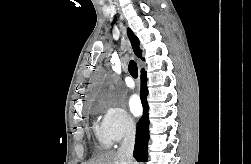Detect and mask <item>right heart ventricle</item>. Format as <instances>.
<instances>
[{
  "mask_svg": "<svg viewBox=\"0 0 251 164\" xmlns=\"http://www.w3.org/2000/svg\"><path fill=\"white\" fill-rule=\"evenodd\" d=\"M94 132H95L96 138H97V140L99 142V145L104 149L109 148L110 145H111V141L106 136L102 126H99L98 124H95L94 125Z\"/></svg>",
  "mask_w": 251,
  "mask_h": 164,
  "instance_id": "obj_1",
  "label": "right heart ventricle"
}]
</instances>
